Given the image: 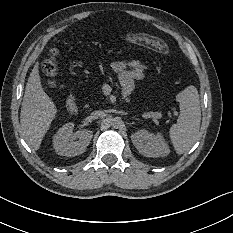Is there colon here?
Masks as SVG:
<instances>
[{
    "label": "colon",
    "mask_w": 233,
    "mask_h": 233,
    "mask_svg": "<svg viewBox=\"0 0 233 233\" xmlns=\"http://www.w3.org/2000/svg\"><path fill=\"white\" fill-rule=\"evenodd\" d=\"M133 39L135 41L147 44L163 54L169 53L168 46L163 41H161L157 38H151V37L146 36V35H135V36H133ZM57 55H58V50L52 49L51 50V58L46 60L42 64V70L44 73H46L48 75L49 84L51 86H54L56 83L57 65H56L55 58L57 57Z\"/></svg>",
    "instance_id": "obj_1"
}]
</instances>
